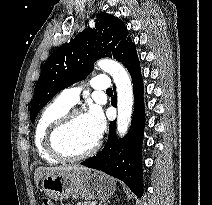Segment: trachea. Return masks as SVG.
<instances>
[{"instance_id": "obj_1", "label": "trachea", "mask_w": 212, "mask_h": 205, "mask_svg": "<svg viewBox=\"0 0 212 205\" xmlns=\"http://www.w3.org/2000/svg\"><path fill=\"white\" fill-rule=\"evenodd\" d=\"M106 93H113V90L111 88L106 90Z\"/></svg>"}]
</instances>
